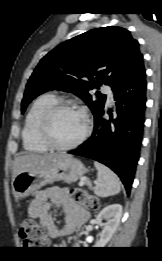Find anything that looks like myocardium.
Returning a JSON list of instances; mask_svg holds the SVG:
<instances>
[{
    "instance_id": "f54148a6",
    "label": "myocardium",
    "mask_w": 162,
    "mask_h": 261,
    "mask_svg": "<svg viewBox=\"0 0 162 261\" xmlns=\"http://www.w3.org/2000/svg\"><path fill=\"white\" fill-rule=\"evenodd\" d=\"M63 110H76L80 112L85 119V128L83 133L73 142L69 144H59L57 143L51 132V124L53 121V118L57 113ZM91 119L87 112L76 106L75 104L68 102V101H59L53 104L51 107H49L44 114L42 115L40 122H39V135L42 140V142L50 149L57 150V151H67L71 150L77 146H79L81 143L85 141V139L88 137L90 131H91Z\"/></svg>"
}]
</instances>
